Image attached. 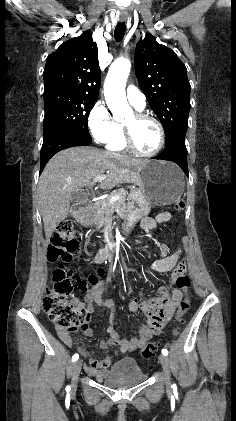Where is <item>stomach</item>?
<instances>
[{"instance_id": "stomach-1", "label": "stomach", "mask_w": 236, "mask_h": 421, "mask_svg": "<svg viewBox=\"0 0 236 421\" xmlns=\"http://www.w3.org/2000/svg\"><path fill=\"white\" fill-rule=\"evenodd\" d=\"M137 188L129 194L127 211L122 223L125 235L131 233L136 223L147 217L151 206L173 204L184 190V174L176 164L148 158L139 170Z\"/></svg>"}]
</instances>
